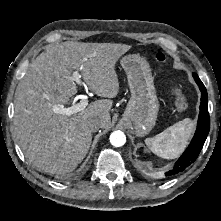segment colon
Listing matches in <instances>:
<instances>
[{"mask_svg":"<svg viewBox=\"0 0 221 221\" xmlns=\"http://www.w3.org/2000/svg\"><path fill=\"white\" fill-rule=\"evenodd\" d=\"M166 59H167V57H166L165 53L158 52L156 54V60L159 63H164L166 61ZM173 96H174L175 108L180 112H183L184 110H186L188 104H187L186 96L183 93V91L180 88H176L173 91Z\"/></svg>","mask_w":221,"mask_h":221,"instance_id":"5ec220e1","label":"colon"}]
</instances>
